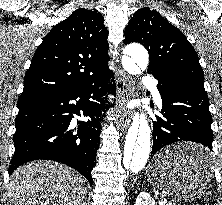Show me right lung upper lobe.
<instances>
[{"instance_id": "obj_1", "label": "right lung upper lobe", "mask_w": 222, "mask_h": 205, "mask_svg": "<svg viewBox=\"0 0 222 205\" xmlns=\"http://www.w3.org/2000/svg\"><path fill=\"white\" fill-rule=\"evenodd\" d=\"M103 21L99 11L79 8L54 26L32 58L20 97L66 92L110 72Z\"/></svg>"}]
</instances>
